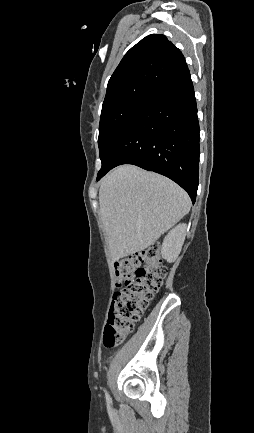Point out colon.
<instances>
[{
  "instance_id": "obj_1",
  "label": "colon",
  "mask_w": 254,
  "mask_h": 433,
  "mask_svg": "<svg viewBox=\"0 0 254 433\" xmlns=\"http://www.w3.org/2000/svg\"><path fill=\"white\" fill-rule=\"evenodd\" d=\"M115 270L121 289L114 296L105 327L106 348L120 345L134 329L166 275L157 246L122 258Z\"/></svg>"
}]
</instances>
